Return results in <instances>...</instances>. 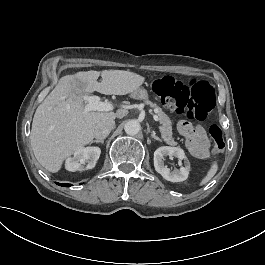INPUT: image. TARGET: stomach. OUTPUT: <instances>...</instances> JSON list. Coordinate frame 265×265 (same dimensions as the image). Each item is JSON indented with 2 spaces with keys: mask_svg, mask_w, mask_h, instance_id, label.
<instances>
[{
  "mask_svg": "<svg viewBox=\"0 0 265 265\" xmlns=\"http://www.w3.org/2000/svg\"><path fill=\"white\" fill-rule=\"evenodd\" d=\"M131 97L138 100H149V93L144 88H138L133 93H131Z\"/></svg>",
  "mask_w": 265,
  "mask_h": 265,
  "instance_id": "0dacf381",
  "label": "stomach"
}]
</instances>
